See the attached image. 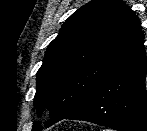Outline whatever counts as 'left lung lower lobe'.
Listing matches in <instances>:
<instances>
[{"label": "left lung lower lobe", "instance_id": "left-lung-lower-lobe-1", "mask_svg": "<svg viewBox=\"0 0 147 131\" xmlns=\"http://www.w3.org/2000/svg\"><path fill=\"white\" fill-rule=\"evenodd\" d=\"M146 55L143 47L127 57L65 119L82 120L117 131H147Z\"/></svg>", "mask_w": 147, "mask_h": 131}]
</instances>
